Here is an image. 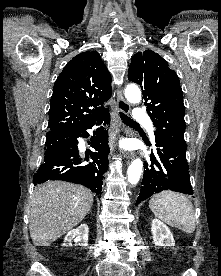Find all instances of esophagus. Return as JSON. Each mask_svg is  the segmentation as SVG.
<instances>
[{
    "label": "esophagus",
    "mask_w": 221,
    "mask_h": 276,
    "mask_svg": "<svg viewBox=\"0 0 221 276\" xmlns=\"http://www.w3.org/2000/svg\"><path fill=\"white\" fill-rule=\"evenodd\" d=\"M117 109L122 113H126V114L130 113V106L127 103V101L122 97V93L120 89L117 90ZM120 126H121V121H120ZM121 130H123V127L121 128ZM122 155L126 159H132L134 157V153L132 151H124Z\"/></svg>",
    "instance_id": "34e87169"
}]
</instances>
